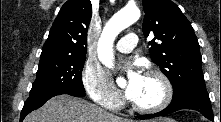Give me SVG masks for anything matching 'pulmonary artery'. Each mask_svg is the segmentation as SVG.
<instances>
[{"instance_id":"1","label":"pulmonary artery","mask_w":221,"mask_h":122,"mask_svg":"<svg viewBox=\"0 0 221 122\" xmlns=\"http://www.w3.org/2000/svg\"><path fill=\"white\" fill-rule=\"evenodd\" d=\"M137 42V35L134 33H129L117 42L116 49L122 53H129L137 45Z\"/></svg>"}]
</instances>
